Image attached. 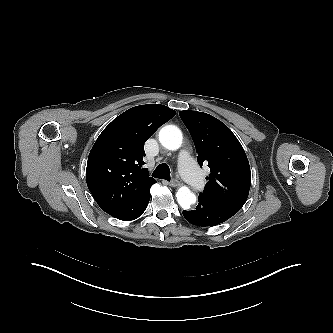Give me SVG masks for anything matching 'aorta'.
Returning a JSON list of instances; mask_svg holds the SVG:
<instances>
[{
  "mask_svg": "<svg viewBox=\"0 0 333 333\" xmlns=\"http://www.w3.org/2000/svg\"><path fill=\"white\" fill-rule=\"evenodd\" d=\"M159 141L168 150H177L181 147L183 135L181 130L175 125H166L159 132ZM178 204L183 209H189L196 202V196L186 186H182L176 193Z\"/></svg>",
  "mask_w": 333,
  "mask_h": 333,
  "instance_id": "aorta-1",
  "label": "aorta"
}]
</instances>
